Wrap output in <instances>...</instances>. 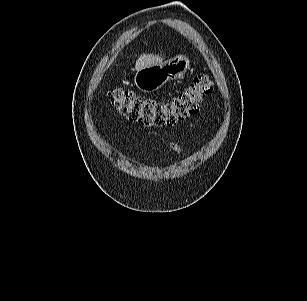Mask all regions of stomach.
I'll list each match as a JSON object with an SVG mask.
<instances>
[{"mask_svg":"<svg viewBox=\"0 0 307 301\" xmlns=\"http://www.w3.org/2000/svg\"><path fill=\"white\" fill-rule=\"evenodd\" d=\"M189 68L190 59L184 55H177L164 63L138 70L134 77V85L143 92H153L169 80L183 78Z\"/></svg>","mask_w":307,"mask_h":301,"instance_id":"0dacf381","label":"stomach"}]
</instances>
